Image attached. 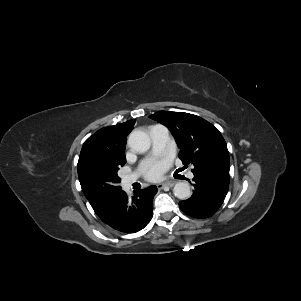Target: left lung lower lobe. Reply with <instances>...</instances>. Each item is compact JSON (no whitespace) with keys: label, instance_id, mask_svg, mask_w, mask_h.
<instances>
[{"label":"left lung lower lobe","instance_id":"0a47b994","mask_svg":"<svg viewBox=\"0 0 301 301\" xmlns=\"http://www.w3.org/2000/svg\"><path fill=\"white\" fill-rule=\"evenodd\" d=\"M192 196L179 202L183 212L195 218L212 216L223 203L229 184L216 181L208 176L194 175Z\"/></svg>","mask_w":301,"mask_h":301}]
</instances>
